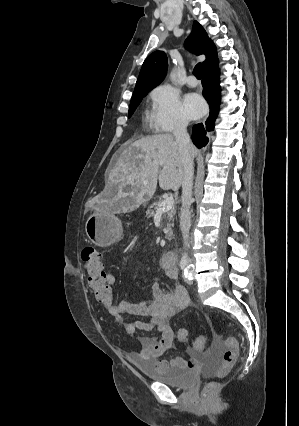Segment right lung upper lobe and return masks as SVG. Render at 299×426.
Wrapping results in <instances>:
<instances>
[{
	"instance_id": "right-lung-upper-lobe-1",
	"label": "right lung upper lobe",
	"mask_w": 299,
	"mask_h": 426,
	"mask_svg": "<svg viewBox=\"0 0 299 426\" xmlns=\"http://www.w3.org/2000/svg\"><path fill=\"white\" fill-rule=\"evenodd\" d=\"M186 45H189L197 55H206L207 59L203 62L204 70L218 63L216 47L197 21L193 23L192 32L186 40ZM167 67L168 60L163 51H155L149 55L142 65L134 93L149 92L159 85L166 76Z\"/></svg>"
}]
</instances>
